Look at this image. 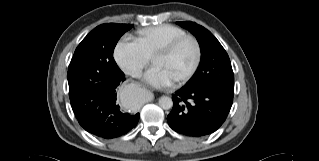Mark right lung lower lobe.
I'll use <instances>...</instances> for the list:
<instances>
[{
	"label": "right lung lower lobe",
	"mask_w": 319,
	"mask_h": 161,
	"mask_svg": "<svg viewBox=\"0 0 319 161\" xmlns=\"http://www.w3.org/2000/svg\"><path fill=\"white\" fill-rule=\"evenodd\" d=\"M124 80L125 75L120 70L110 80L98 82L71 99L72 110L86 131L110 139L137 125L139 113H125L116 101L117 87Z\"/></svg>",
	"instance_id": "obj_1"
}]
</instances>
